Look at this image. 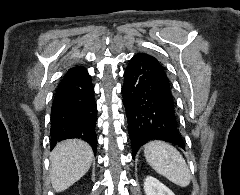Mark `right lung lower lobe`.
Instances as JSON below:
<instances>
[{"instance_id":"98d812e1","label":"right lung lower lobe","mask_w":240,"mask_h":195,"mask_svg":"<svg viewBox=\"0 0 240 195\" xmlns=\"http://www.w3.org/2000/svg\"><path fill=\"white\" fill-rule=\"evenodd\" d=\"M97 106L91 76L86 70L64 76L51 107V148L65 139L80 138L96 152Z\"/></svg>"}]
</instances>
